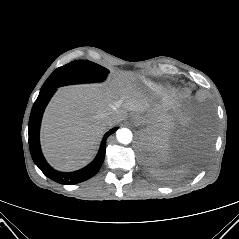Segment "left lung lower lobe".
<instances>
[{"instance_id": "left-lung-lower-lobe-1", "label": "left lung lower lobe", "mask_w": 239, "mask_h": 239, "mask_svg": "<svg viewBox=\"0 0 239 239\" xmlns=\"http://www.w3.org/2000/svg\"><path fill=\"white\" fill-rule=\"evenodd\" d=\"M168 144L158 138H145L141 143V153L152 168L158 167L167 151Z\"/></svg>"}]
</instances>
